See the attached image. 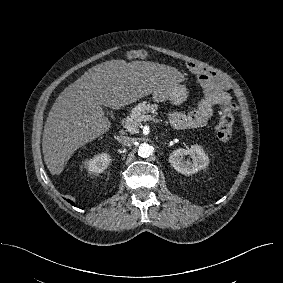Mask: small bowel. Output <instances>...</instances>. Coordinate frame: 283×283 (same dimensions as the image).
Segmentation results:
<instances>
[{
  "instance_id": "obj_1",
  "label": "small bowel",
  "mask_w": 283,
  "mask_h": 283,
  "mask_svg": "<svg viewBox=\"0 0 283 283\" xmlns=\"http://www.w3.org/2000/svg\"><path fill=\"white\" fill-rule=\"evenodd\" d=\"M188 67L198 77L204 96L199 101L197 108L191 112L187 114L172 112L169 115L171 124L177 129H188L207 124L216 106L235 107L225 89L224 81L216 73L195 63H190Z\"/></svg>"
}]
</instances>
